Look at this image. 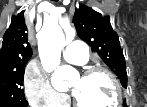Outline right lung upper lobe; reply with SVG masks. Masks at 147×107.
Segmentation results:
<instances>
[{
  "mask_svg": "<svg viewBox=\"0 0 147 107\" xmlns=\"http://www.w3.org/2000/svg\"><path fill=\"white\" fill-rule=\"evenodd\" d=\"M31 56L32 50L28 42L24 11H22L17 17L12 18L4 34L0 50V74L25 68Z\"/></svg>",
  "mask_w": 147,
  "mask_h": 107,
  "instance_id": "right-lung-upper-lobe-1",
  "label": "right lung upper lobe"
}]
</instances>
